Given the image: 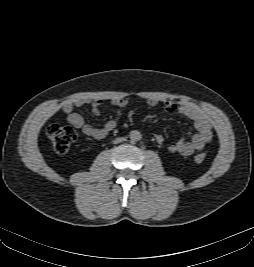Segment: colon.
<instances>
[{
    "label": "colon",
    "instance_id": "obj_1",
    "mask_svg": "<svg viewBox=\"0 0 254 267\" xmlns=\"http://www.w3.org/2000/svg\"><path fill=\"white\" fill-rule=\"evenodd\" d=\"M47 135L52 142L54 150L59 154L68 152L71 144L76 140V131L69 126L52 124L47 129ZM206 159L204 153L195 155L194 161L196 163H202Z\"/></svg>",
    "mask_w": 254,
    "mask_h": 267
}]
</instances>
